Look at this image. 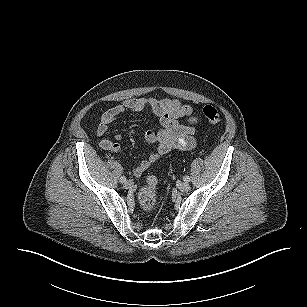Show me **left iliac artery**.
Wrapping results in <instances>:
<instances>
[{
  "mask_svg": "<svg viewBox=\"0 0 307 307\" xmlns=\"http://www.w3.org/2000/svg\"><path fill=\"white\" fill-rule=\"evenodd\" d=\"M183 179H184L185 182H189L190 181V177L189 176H185Z\"/></svg>",
  "mask_w": 307,
  "mask_h": 307,
  "instance_id": "left-iliac-artery-1",
  "label": "left iliac artery"
}]
</instances>
